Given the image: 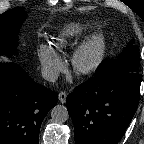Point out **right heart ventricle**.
I'll return each mask as SVG.
<instances>
[{"instance_id":"e07e8e85","label":"right heart ventricle","mask_w":144,"mask_h":144,"mask_svg":"<svg viewBox=\"0 0 144 144\" xmlns=\"http://www.w3.org/2000/svg\"><path fill=\"white\" fill-rule=\"evenodd\" d=\"M87 23L71 22L62 27L59 33L53 37L54 47L63 50L82 37L89 29Z\"/></svg>"}]
</instances>
